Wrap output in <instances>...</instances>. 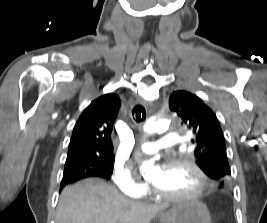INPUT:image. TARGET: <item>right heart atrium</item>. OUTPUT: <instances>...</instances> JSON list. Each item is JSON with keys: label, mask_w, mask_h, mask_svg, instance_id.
<instances>
[{"label": "right heart atrium", "mask_w": 267, "mask_h": 223, "mask_svg": "<svg viewBox=\"0 0 267 223\" xmlns=\"http://www.w3.org/2000/svg\"><path fill=\"white\" fill-rule=\"evenodd\" d=\"M112 180L124 195L139 198L146 192V185L134 176L130 165L117 161L113 168Z\"/></svg>", "instance_id": "obj_1"}]
</instances>
